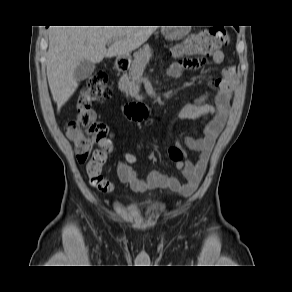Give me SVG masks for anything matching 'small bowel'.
Wrapping results in <instances>:
<instances>
[{"instance_id":"obj_1","label":"small bowel","mask_w":292,"mask_h":292,"mask_svg":"<svg viewBox=\"0 0 292 292\" xmlns=\"http://www.w3.org/2000/svg\"><path fill=\"white\" fill-rule=\"evenodd\" d=\"M225 60V54L221 50L214 52L212 61L214 64H221ZM206 64L204 57H187L172 63L167 69V75L177 78L184 69H200ZM217 92L212 104H203L207 95L199 97L192 103L182 107L179 112L181 119H197L210 116L204 133L200 137L187 138L185 145L191 151L198 153L195 162L179 161L176 167L182 171L183 181L174 176L167 175L157 170L150 171L142 178L132 167L137 161L135 155L124 153V160L117 165V175L121 182L126 183L134 191H145L148 189H166L182 196H190L197 189L207 168L210 153L215 141L223 130L230 113V102L236 84V72L233 66L223 69L222 75L213 80ZM105 139H102L101 144Z\"/></svg>"}]
</instances>
